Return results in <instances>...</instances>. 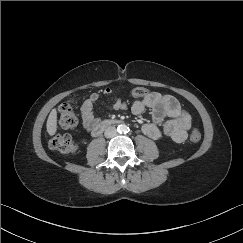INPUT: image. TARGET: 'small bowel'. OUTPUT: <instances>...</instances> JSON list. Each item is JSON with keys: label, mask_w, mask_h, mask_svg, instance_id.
<instances>
[{"label": "small bowel", "mask_w": 243, "mask_h": 243, "mask_svg": "<svg viewBox=\"0 0 243 243\" xmlns=\"http://www.w3.org/2000/svg\"><path fill=\"white\" fill-rule=\"evenodd\" d=\"M104 97H111L110 110H129L131 114L137 116L149 109L151 121L142 126L143 133L148 137L160 139L167 136L177 143L185 141L187 131L191 127V115L182 109L176 98L157 92H145L130 106L122 98L113 97L111 88H105L101 93L91 94L80 107L82 125L86 130H93L101 121L95 107ZM165 118L168 120L162 126Z\"/></svg>", "instance_id": "small-bowel-1"}]
</instances>
